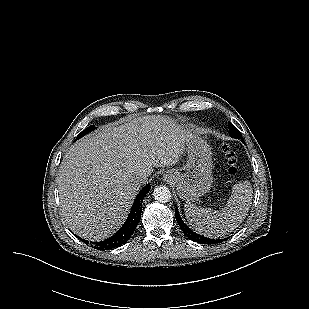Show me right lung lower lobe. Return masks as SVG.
I'll list each match as a JSON object with an SVG mask.
<instances>
[{"instance_id": "right-lung-lower-lobe-1", "label": "right lung lower lobe", "mask_w": 309, "mask_h": 309, "mask_svg": "<svg viewBox=\"0 0 309 309\" xmlns=\"http://www.w3.org/2000/svg\"><path fill=\"white\" fill-rule=\"evenodd\" d=\"M151 186L147 184L137 195L129 216L123 226L109 239L100 242H89L83 240L80 237L78 239L82 240L85 244H90L92 247L98 250H110L117 248L125 244L133 234L135 228L137 227L141 213H142V201L145 195L150 191Z\"/></svg>"}]
</instances>
